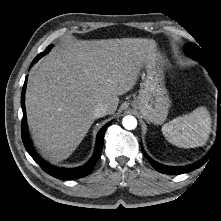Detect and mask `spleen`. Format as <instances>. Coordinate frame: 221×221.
Returning a JSON list of instances; mask_svg holds the SVG:
<instances>
[{
	"mask_svg": "<svg viewBox=\"0 0 221 221\" xmlns=\"http://www.w3.org/2000/svg\"><path fill=\"white\" fill-rule=\"evenodd\" d=\"M211 132V118L203 106L174 118L162 126L166 140L180 148L203 146Z\"/></svg>",
	"mask_w": 221,
	"mask_h": 221,
	"instance_id": "spleen-1",
	"label": "spleen"
}]
</instances>
